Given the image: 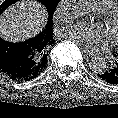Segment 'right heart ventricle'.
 Listing matches in <instances>:
<instances>
[{"instance_id": "obj_1", "label": "right heart ventricle", "mask_w": 118, "mask_h": 118, "mask_svg": "<svg viewBox=\"0 0 118 118\" xmlns=\"http://www.w3.org/2000/svg\"><path fill=\"white\" fill-rule=\"evenodd\" d=\"M93 7L98 12L104 13L118 5V0H91Z\"/></svg>"}]
</instances>
